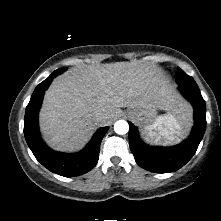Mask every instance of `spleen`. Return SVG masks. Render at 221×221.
<instances>
[{"instance_id":"1","label":"spleen","mask_w":221,"mask_h":221,"mask_svg":"<svg viewBox=\"0 0 221 221\" xmlns=\"http://www.w3.org/2000/svg\"><path fill=\"white\" fill-rule=\"evenodd\" d=\"M190 126V111L177 116L173 114H167L165 116L158 117L157 128L159 129L161 136L165 138L163 144H172L179 142L181 140L180 137H182L187 132ZM146 139L149 140L147 136Z\"/></svg>"}]
</instances>
